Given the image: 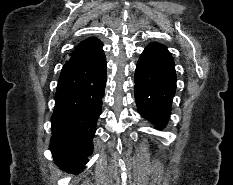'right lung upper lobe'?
<instances>
[{
    "label": "right lung upper lobe",
    "instance_id": "right-lung-upper-lobe-1",
    "mask_svg": "<svg viewBox=\"0 0 233 185\" xmlns=\"http://www.w3.org/2000/svg\"><path fill=\"white\" fill-rule=\"evenodd\" d=\"M102 45L103 44L99 39L94 37L88 38L79 43L75 51L71 53V57L68 62H98L105 58Z\"/></svg>",
    "mask_w": 233,
    "mask_h": 185
}]
</instances>
